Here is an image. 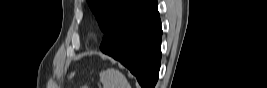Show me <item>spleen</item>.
Returning a JSON list of instances; mask_svg holds the SVG:
<instances>
[{"label": "spleen", "mask_w": 267, "mask_h": 88, "mask_svg": "<svg viewBox=\"0 0 267 88\" xmlns=\"http://www.w3.org/2000/svg\"><path fill=\"white\" fill-rule=\"evenodd\" d=\"M104 88H131L126 77L117 69L109 68L100 73Z\"/></svg>", "instance_id": "1"}]
</instances>
